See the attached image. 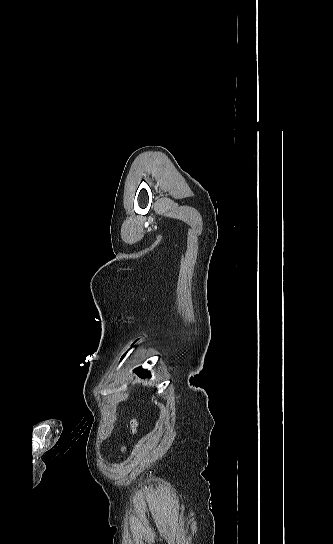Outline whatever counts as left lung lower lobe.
I'll return each mask as SVG.
<instances>
[{
	"mask_svg": "<svg viewBox=\"0 0 333 544\" xmlns=\"http://www.w3.org/2000/svg\"><path fill=\"white\" fill-rule=\"evenodd\" d=\"M135 372L142 378L149 377V373L147 371L140 370V368L136 369Z\"/></svg>",
	"mask_w": 333,
	"mask_h": 544,
	"instance_id": "left-lung-lower-lobe-1",
	"label": "left lung lower lobe"
}]
</instances>
